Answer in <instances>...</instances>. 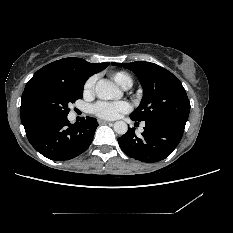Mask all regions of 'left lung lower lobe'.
<instances>
[{
	"instance_id": "0a47b994",
	"label": "left lung lower lobe",
	"mask_w": 233,
	"mask_h": 233,
	"mask_svg": "<svg viewBox=\"0 0 233 233\" xmlns=\"http://www.w3.org/2000/svg\"><path fill=\"white\" fill-rule=\"evenodd\" d=\"M184 128L183 125L146 121L141 137H137L134 129L130 128L118 138V143L129 157L153 163L165 159L174 151L182 138Z\"/></svg>"
}]
</instances>
